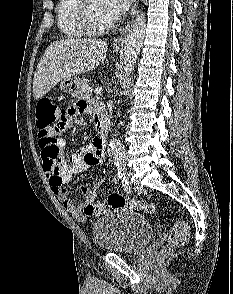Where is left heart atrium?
Returning a JSON list of instances; mask_svg holds the SVG:
<instances>
[{"label":"left heart atrium","mask_w":233,"mask_h":294,"mask_svg":"<svg viewBox=\"0 0 233 294\" xmlns=\"http://www.w3.org/2000/svg\"><path fill=\"white\" fill-rule=\"evenodd\" d=\"M131 0H103L107 14L113 19L123 15L129 8Z\"/></svg>","instance_id":"1"}]
</instances>
